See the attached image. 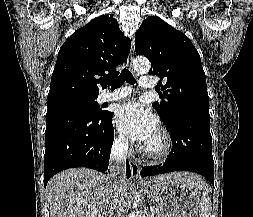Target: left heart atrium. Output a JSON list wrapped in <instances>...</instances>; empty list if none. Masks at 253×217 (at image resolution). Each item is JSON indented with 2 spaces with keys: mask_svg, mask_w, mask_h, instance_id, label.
<instances>
[{
  "mask_svg": "<svg viewBox=\"0 0 253 217\" xmlns=\"http://www.w3.org/2000/svg\"><path fill=\"white\" fill-rule=\"evenodd\" d=\"M114 123L117 129L144 146L158 131V119L149 110L135 101H129L116 111Z\"/></svg>",
  "mask_w": 253,
  "mask_h": 217,
  "instance_id": "obj_1",
  "label": "left heart atrium"
}]
</instances>
